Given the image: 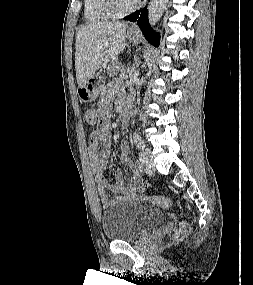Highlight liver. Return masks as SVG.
<instances>
[{
	"mask_svg": "<svg viewBox=\"0 0 253 285\" xmlns=\"http://www.w3.org/2000/svg\"><path fill=\"white\" fill-rule=\"evenodd\" d=\"M126 22H99L81 27L75 43V69L78 85L123 52Z\"/></svg>",
	"mask_w": 253,
	"mask_h": 285,
	"instance_id": "6515ba94",
	"label": "liver"
}]
</instances>
